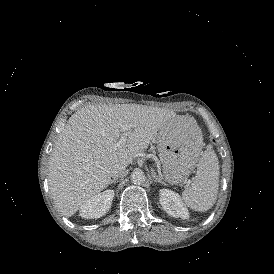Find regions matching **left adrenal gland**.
Masks as SVG:
<instances>
[{"mask_svg":"<svg viewBox=\"0 0 274 274\" xmlns=\"http://www.w3.org/2000/svg\"><path fill=\"white\" fill-rule=\"evenodd\" d=\"M151 175L153 177V181L154 182H158L160 184H163V182L160 180V178H158V176L156 175L155 171L152 169L151 170Z\"/></svg>","mask_w":274,"mask_h":274,"instance_id":"1","label":"left adrenal gland"}]
</instances>
